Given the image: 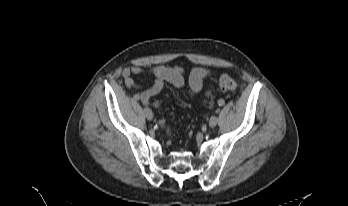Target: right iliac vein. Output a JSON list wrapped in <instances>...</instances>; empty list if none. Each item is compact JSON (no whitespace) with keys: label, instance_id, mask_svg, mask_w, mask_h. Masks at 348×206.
<instances>
[{"label":"right iliac vein","instance_id":"obj_1","mask_svg":"<svg viewBox=\"0 0 348 206\" xmlns=\"http://www.w3.org/2000/svg\"><path fill=\"white\" fill-rule=\"evenodd\" d=\"M144 114H145V116H146V118L148 120H152L153 119V113H152V111L149 108H145L144 109Z\"/></svg>","mask_w":348,"mask_h":206}]
</instances>
